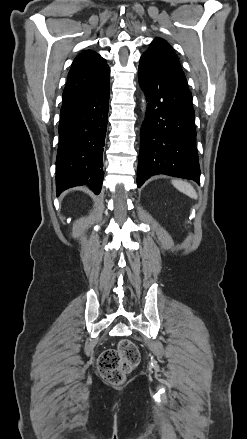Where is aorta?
Masks as SVG:
<instances>
[{
  "label": "aorta",
  "mask_w": 247,
  "mask_h": 439,
  "mask_svg": "<svg viewBox=\"0 0 247 439\" xmlns=\"http://www.w3.org/2000/svg\"><path fill=\"white\" fill-rule=\"evenodd\" d=\"M142 108L145 110L146 109V102L145 100L142 101Z\"/></svg>",
  "instance_id": "aorta-1"
}]
</instances>
